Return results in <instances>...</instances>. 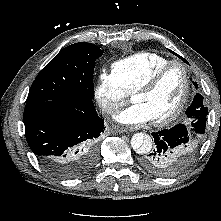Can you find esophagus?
Segmentation results:
<instances>
[{
	"mask_svg": "<svg viewBox=\"0 0 221 221\" xmlns=\"http://www.w3.org/2000/svg\"><path fill=\"white\" fill-rule=\"evenodd\" d=\"M125 131H126L125 128H117V127H115V128L112 129V132H114V133H123Z\"/></svg>",
	"mask_w": 221,
	"mask_h": 221,
	"instance_id": "34e87169",
	"label": "esophagus"
}]
</instances>
